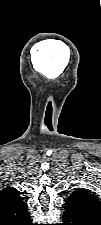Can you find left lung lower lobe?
<instances>
[{"label": "left lung lower lobe", "mask_w": 101, "mask_h": 225, "mask_svg": "<svg viewBox=\"0 0 101 225\" xmlns=\"http://www.w3.org/2000/svg\"><path fill=\"white\" fill-rule=\"evenodd\" d=\"M62 225H101V219L85 213L65 210Z\"/></svg>", "instance_id": "0a47b994"}]
</instances>
